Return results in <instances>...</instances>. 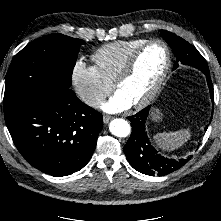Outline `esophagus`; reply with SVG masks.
Masks as SVG:
<instances>
[{"instance_id": "1", "label": "esophagus", "mask_w": 221, "mask_h": 221, "mask_svg": "<svg viewBox=\"0 0 221 221\" xmlns=\"http://www.w3.org/2000/svg\"><path fill=\"white\" fill-rule=\"evenodd\" d=\"M112 119H113L112 116H109V115H104V116H103V122H104L105 124L109 123V121H111Z\"/></svg>"}]
</instances>
